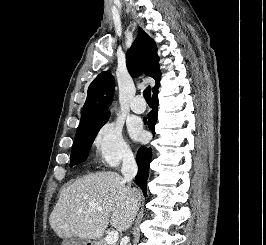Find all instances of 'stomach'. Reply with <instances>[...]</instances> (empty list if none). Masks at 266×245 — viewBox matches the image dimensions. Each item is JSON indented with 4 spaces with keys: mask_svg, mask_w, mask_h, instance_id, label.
I'll return each instance as SVG.
<instances>
[{
    "mask_svg": "<svg viewBox=\"0 0 266 245\" xmlns=\"http://www.w3.org/2000/svg\"><path fill=\"white\" fill-rule=\"evenodd\" d=\"M76 245H97V243H91V241H84V239H77Z\"/></svg>",
    "mask_w": 266,
    "mask_h": 245,
    "instance_id": "obj_1",
    "label": "stomach"
}]
</instances>
